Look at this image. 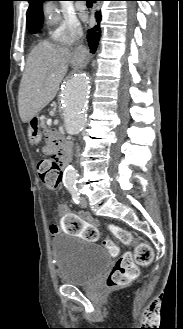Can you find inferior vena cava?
Returning a JSON list of instances; mask_svg holds the SVG:
<instances>
[{"label": "inferior vena cava", "mask_w": 183, "mask_h": 329, "mask_svg": "<svg viewBox=\"0 0 183 329\" xmlns=\"http://www.w3.org/2000/svg\"><path fill=\"white\" fill-rule=\"evenodd\" d=\"M75 55L77 63L82 66L87 59L88 50L84 46H80L76 49Z\"/></svg>", "instance_id": "inferior-vena-cava-1"}]
</instances>
